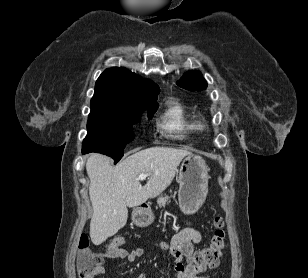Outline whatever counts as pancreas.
I'll return each mask as SVG.
<instances>
[{
  "label": "pancreas",
  "mask_w": 308,
  "mask_h": 278,
  "mask_svg": "<svg viewBox=\"0 0 308 278\" xmlns=\"http://www.w3.org/2000/svg\"><path fill=\"white\" fill-rule=\"evenodd\" d=\"M168 202H170V197L168 195H161L157 200L160 207H164Z\"/></svg>",
  "instance_id": "cf45deb5"
}]
</instances>
